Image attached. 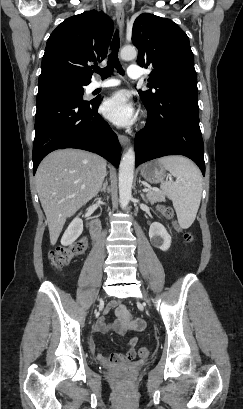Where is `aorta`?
<instances>
[{
  "instance_id": "obj_1",
  "label": "aorta",
  "mask_w": 243,
  "mask_h": 409,
  "mask_svg": "<svg viewBox=\"0 0 243 409\" xmlns=\"http://www.w3.org/2000/svg\"><path fill=\"white\" fill-rule=\"evenodd\" d=\"M120 56L123 60H133L137 57L136 48L125 46L121 49ZM135 152L133 147H129L123 154L119 166V202L122 209H125L132 197V183L134 178Z\"/></svg>"
}]
</instances>
